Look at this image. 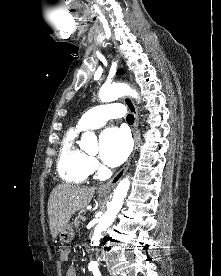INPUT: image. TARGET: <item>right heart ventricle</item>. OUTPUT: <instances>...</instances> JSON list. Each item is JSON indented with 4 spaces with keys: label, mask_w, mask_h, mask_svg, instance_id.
Wrapping results in <instances>:
<instances>
[{
    "label": "right heart ventricle",
    "mask_w": 221,
    "mask_h": 276,
    "mask_svg": "<svg viewBox=\"0 0 221 276\" xmlns=\"http://www.w3.org/2000/svg\"><path fill=\"white\" fill-rule=\"evenodd\" d=\"M78 132L79 129H71L64 135L57 163L60 177L70 183H82L91 173L89 157L76 144Z\"/></svg>",
    "instance_id": "e07e8e85"
}]
</instances>
